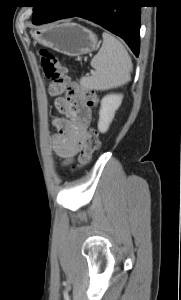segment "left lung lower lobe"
I'll return each instance as SVG.
<instances>
[{"instance_id": "0a47b994", "label": "left lung lower lobe", "mask_w": 181, "mask_h": 300, "mask_svg": "<svg viewBox=\"0 0 181 300\" xmlns=\"http://www.w3.org/2000/svg\"><path fill=\"white\" fill-rule=\"evenodd\" d=\"M140 7L138 0H59L42 24L74 16L93 21L125 40L138 57Z\"/></svg>"}]
</instances>
